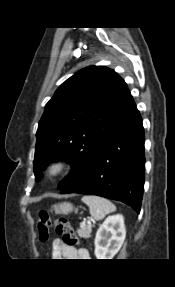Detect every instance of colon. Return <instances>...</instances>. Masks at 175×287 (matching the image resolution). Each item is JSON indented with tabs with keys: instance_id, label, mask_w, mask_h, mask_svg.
<instances>
[{
	"instance_id": "obj_1",
	"label": "colon",
	"mask_w": 175,
	"mask_h": 287,
	"mask_svg": "<svg viewBox=\"0 0 175 287\" xmlns=\"http://www.w3.org/2000/svg\"><path fill=\"white\" fill-rule=\"evenodd\" d=\"M37 229L41 241L50 239L52 229L62 238L64 244L75 246L80 243L74 229L65 218L54 219L47 211H40L37 216Z\"/></svg>"
}]
</instances>
